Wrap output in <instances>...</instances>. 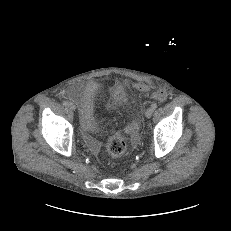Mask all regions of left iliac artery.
<instances>
[{
	"instance_id": "left-iliac-artery-1",
	"label": "left iliac artery",
	"mask_w": 231,
	"mask_h": 231,
	"mask_svg": "<svg viewBox=\"0 0 231 231\" xmlns=\"http://www.w3.org/2000/svg\"><path fill=\"white\" fill-rule=\"evenodd\" d=\"M151 108H152L153 110H155V109L157 108V104H156V103H153V104L151 105Z\"/></svg>"
}]
</instances>
